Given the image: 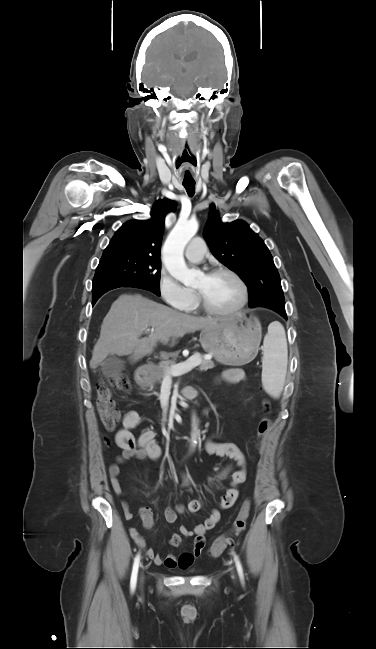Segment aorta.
Masks as SVG:
<instances>
[{
	"label": "aorta",
	"instance_id": "obj_1",
	"mask_svg": "<svg viewBox=\"0 0 376 649\" xmlns=\"http://www.w3.org/2000/svg\"><path fill=\"white\" fill-rule=\"evenodd\" d=\"M198 226L195 219L179 220L163 247V261L166 269L175 279L184 284H191L199 275V271L187 267L183 256L184 248L196 234ZM192 428V441L196 443L199 430L195 418H193Z\"/></svg>",
	"mask_w": 376,
	"mask_h": 649
}]
</instances>
